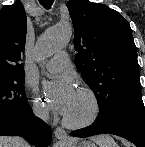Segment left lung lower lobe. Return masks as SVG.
I'll return each mask as SVG.
<instances>
[{"instance_id": "0a47b994", "label": "left lung lower lobe", "mask_w": 145, "mask_h": 147, "mask_svg": "<svg viewBox=\"0 0 145 147\" xmlns=\"http://www.w3.org/2000/svg\"><path fill=\"white\" fill-rule=\"evenodd\" d=\"M114 134L121 136L137 147H145V108L136 107L120 113L104 125L96 121L89 127L73 131L72 136L89 137L98 134Z\"/></svg>"}]
</instances>
